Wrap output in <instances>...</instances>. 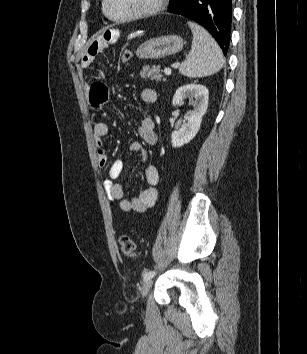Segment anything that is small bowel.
I'll return each mask as SVG.
<instances>
[{"label": "small bowel", "instance_id": "small-bowel-1", "mask_svg": "<svg viewBox=\"0 0 307 354\" xmlns=\"http://www.w3.org/2000/svg\"><path fill=\"white\" fill-rule=\"evenodd\" d=\"M120 38V32L117 29L106 30L99 39L92 41L87 47L81 59V67L88 68L92 65L96 55L105 45L114 44ZM91 104L98 108L103 105L107 98V88L103 83L96 82L91 86H86ZM141 101L144 104H152L157 100V93L152 89H145L140 94ZM109 131L105 122H98L94 125L93 136L97 147L98 161L100 166L107 164V154L104 146V138ZM139 134L143 144L154 145L158 141V133L155 120L152 116L146 115L142 118L139 126ZM141 142H133L130 146L132 151L142 153L143 160L147 159V153ZM124 162L120 159L115 160L109 168V178L104 182L107 196L110 200L118 201L119 207L123 212L142 213L151 208L157 201V185L159 183V172L156 166L148 165L145 169V179L148 187L142 190L137 198L127 199L124 197L123 188L119 180L124 171Z\"/></svg>", "mask_w": 307, "mask_h": 354}]
</instances>
